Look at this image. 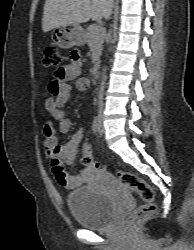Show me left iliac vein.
I'll list each match as a JSON object with an SVG mask.
<instances>
[{
	"mask_svg": "<svg viewBox=\"0 0 194 250\" xmlns=\"http://www.w3.org/2000/svg\"><path fill=\"white\" fill-rule=\"evenodd\" d=\"M102 120H103L102 117H100V126H99V130H98V133H99L100 135H102L103 132H104Z\"/></svg>",
	"mask_w": 194,
	"mask_h": 250,
	"instance_id": "1",
	"label": "left iliac vein"
}]
</instances>
